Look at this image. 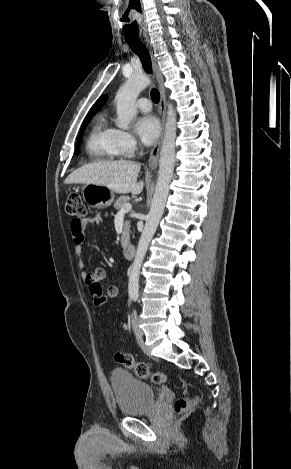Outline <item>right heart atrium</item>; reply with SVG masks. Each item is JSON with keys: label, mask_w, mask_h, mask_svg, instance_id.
Here are the masks:
<instances>
[{"label": "right heart atrium", "mask_w": 291, "mask_h": 469, "mask_svg": "<svg viewBox=\"0 0 291 469\" xmlns=\"http://www.w3.org/2000/svg\"><path fill=\"white\" fill-rule=\"evenodd\" d=\"M115 143L120 154L124 156L132 155L138 147L134 135L122 129H115Z\"/></svg>", "instance_id": "obj_1"}]
</instances>
